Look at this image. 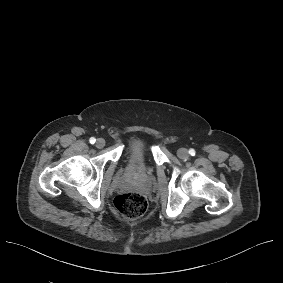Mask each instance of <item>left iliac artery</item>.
<instances>
[{
  "instance_id": "obj_1",
  "label": "left iliac artery",
  "mask_w": 283,
  "mask_h": 283,
  "mask_svg": "<svg viewBox=\"0 0 283 283\" xmlns=\"http://www.w3.org/2000/svg\"><path fill=\"white\" fill-rule=\"evenodd\" d=\"M189 154H190L191 156H195V150H194V149H190V150H189Z\"/></svg>"
}]
</instances>
